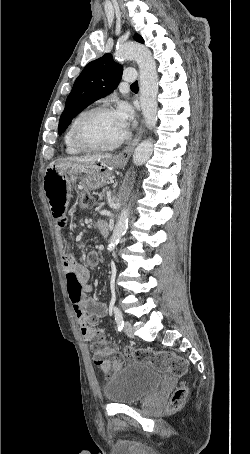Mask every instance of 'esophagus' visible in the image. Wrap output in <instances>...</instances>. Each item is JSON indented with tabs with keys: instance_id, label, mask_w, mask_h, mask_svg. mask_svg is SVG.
Instances as JSON below:
<instances>
[{
	"instance_id": "1",
	"label": "esophagus",
	"mask_w": 250,
	"mask_h": 454,
	"mask_svg": "<svg viewBox=\"0 0 250 454\" xmlns=\"http://www.w3.org/2000/svg\"><path fill=\"white\" fill-rule=\"evenodd\" d=\"M143 131H144V128H143V125L140 126L135 138L133 139V141L128 144L118 155H117V158L118 159H121V160H128L130 158V156L132 155L133 151H134V148L135 146L139 143V141L141 140L142 138V135H143Z\"/></svg>"
}]
</instances>
